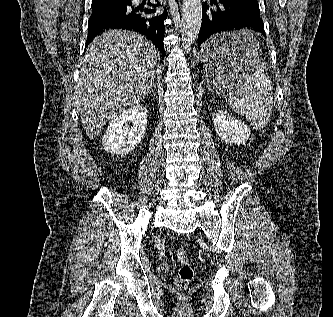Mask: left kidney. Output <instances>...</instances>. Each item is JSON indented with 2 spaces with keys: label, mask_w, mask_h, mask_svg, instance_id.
<instances>
[{
  "label": "left kidney",
  "mask_w": 333,
  "mask_h": 317,
  "mask_svg": "<svg viewBox=\"0 0 333 317\" xmlns=\"http://www.w3.org/2000/svg\"><path fill=\"white\" fill-rule=\"evenodd\" d=\"M212 121L216 133L226 142L244 144L250 136L248 126L224 110L214 112Z\"/></svg>",
  "instance_id": "obj_1"
}]
</instances>
